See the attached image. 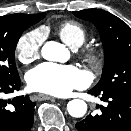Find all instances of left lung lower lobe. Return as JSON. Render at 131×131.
<instances>
[{
  "mask_svg": "<svg viewBox=\"0 0 131 131\" xmlns=\"http://www.w3.org/2000/svg\"><path fill=\"white\" fill-rule=\"evenodd\" d=\"M88 93L100 95L105 104L97 106L101 110L98 114L76 123L78 131H131V93L94 89Z\"/></svg>",
  "mask_w": 131,
  "mask_h": 131,
  "instance_id": "1",
  "label": "left lung lower lobe"
}]
</instances>
